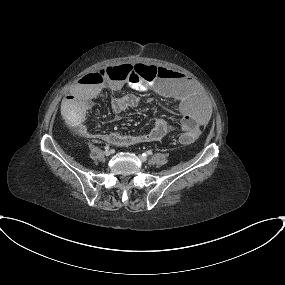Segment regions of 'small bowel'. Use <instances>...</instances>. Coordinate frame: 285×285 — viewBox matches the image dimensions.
<instances>
[{
  "label": "small bowel",
  "mask_w": 285,
  "mask_h": 285,
  "mask_svg": "<svg viewBox=\"0 0 285 285\" xmlns=\"http://www.w3.org/2000/svg\"><path fill=\"white\" fill-rule=\"evenodd\" d=\"M123 65L112 66L119 69ZM126 85H131L136 90H152L159 96L177 102L182 113L180 127L184 133L198 134L208 122V108L205 101L200 97L195 84L190 77L178 70L163 69L158 80L154 82H134L129 72L126 75L122 72L115 78H108L97 84L84 83L79 80L73 87L72 92L66 96L61 103V113L64 119L74 124L78 132L94 140H102L115 147H127L141 143H149L162 139L170 130V123L157 117L152 128L145 133L139 134H92L89 128L83 124L91 108V101L97 97L105 88L120 90ZM147 100H152L148 97ZM140 102L135 95H122L113 100V108L122 111L127 107H134Z\"/></svg>",
  "instance_id": "small-bowel-1"
}]
</instances>
